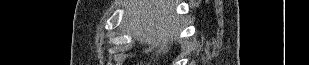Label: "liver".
I'll list each match as a JSON object with an SVG mask.
<instances>
[{"mask_svg": "<svg viewBox=\"0 0 309 65\" xmlns=\"http://www.w3.org/2000/svg\"><path fill=\"white\" fill-rule=\"evenodd\" d=\"M125 25L140 44L158 46V54L169 51L180 29L174 0H130L125 4Z\"/></svg>", "mask_w": 309, "mask_h": 65, "instance_id": "6515ba94", "label": "liver"}]
</instances>
